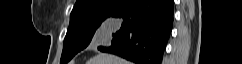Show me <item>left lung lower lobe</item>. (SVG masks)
I'll return each instance as SVG.
<instances>
[{
    "instance_id": "0a47b994",
    "label": "left lung lower lobe",
    "mask_w": 242,
    "mask_h": 64,
    "mask_svg": "<svg viewBox=\"0 0 242 64\" xmlns=\"http://www.w3.org/2000/svg\"><path fill=\"white\" fill-rule=\"evenodd\" d=\"M173 16V0H127L110 16L121 21L120 30L109 47L98 49L135 64H161Z\"/></svg>"
}]
</instances>
